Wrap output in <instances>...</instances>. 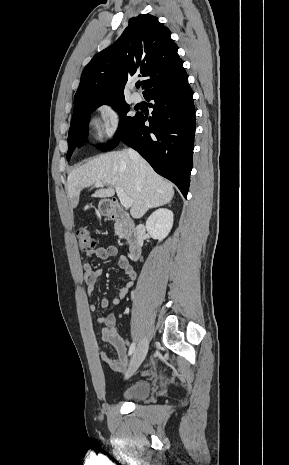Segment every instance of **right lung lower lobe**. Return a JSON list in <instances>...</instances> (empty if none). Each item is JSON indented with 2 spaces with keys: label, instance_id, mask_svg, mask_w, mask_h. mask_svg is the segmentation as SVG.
<instances>
[{
  "label": "right lung lower lobe",
  "instance_id": "98d812e1",
  "mask_svg": "<svg viewBox=\"0 0 289 465\" xmlns=\"http://www.w3.org/2000/svg\"><path fill=\"white\" fill-rule=\"evenodd\" d=\"M152 116L138 114L129 132L122 138L137 150L153 169L169 179L186 198L192 169L195 133V108L188 79L151 92ZM149 121V127L145 121Z\"/></svg>",
  "mask_w": 289,
  "mask_h": 465
}]
</instances>
